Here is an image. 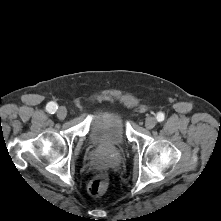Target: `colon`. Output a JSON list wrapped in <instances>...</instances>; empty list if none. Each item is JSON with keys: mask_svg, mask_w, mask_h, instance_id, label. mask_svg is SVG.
<instances>
[{"mask_svg": "<svg viewBox=\"0 0 221 221\" xmlns=\"http://www.w3.org/2000/svg\"><path fill=\"white\" fill-rule=\"evenodd\" d=\"M109 188V177L106 173L97 175L89 184L88 191L92 196H101Z\"/></svg>", "mask_w": 221, "mask_h": 221, "instance_id": "colon-1", "label": "colon"}]
</instances>
